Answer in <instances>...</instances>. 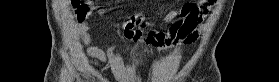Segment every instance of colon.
<instances>
[{"label": "colon", "instance_id": "1", "mask_svg": "<svg viewBox=\"0 0 279 82\" xmlns=\"http://www.w3.org/2000/svg\"><path fill=\"white\" fill-rule=\"evenodd\" d=\"M206 1L211 3L217 2V0H206ZM126 22L129 23L134 29H137L141 24V19L138 16H134L131 20H128Z\"/></svg>", "mask_w": 279, "mask_h": 82}]
</instances>
